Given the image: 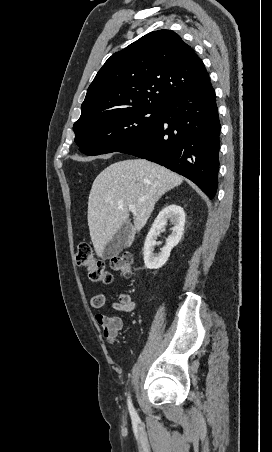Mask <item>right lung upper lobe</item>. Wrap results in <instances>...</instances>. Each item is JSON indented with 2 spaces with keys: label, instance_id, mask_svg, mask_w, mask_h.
<instances>
[{
  "label": "right lung upper lobe",
  "instance_id": "cb5924a9",
  "mask_svg": "<svg viewBox=\"0 0 272 452\" xmlns=\"http://www.w3.org/2000/svg\"><path fill=\"white\" fill-rule=\"evenodd\" d=\"M209 80L202 60L178 34L150 32L105 62L88 88L78 121L138 106L162 108Z\"/></svg>",
  "mask_w": 272,
  "mask_h": 452
}]
</instances>
